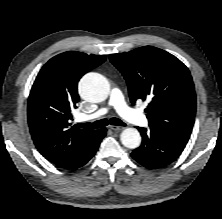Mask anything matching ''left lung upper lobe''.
<instances>
[{"label":"left lung upper lobe","mask_w":222,"mask_h":219,"mask_svg":"<svg viewBox=\"0 0 222 219\" xmlns=\"http://www.w3.org/2000/svg\"><path fill=\"white\" fill-rule=\"evenodd\" d=\"M128 84L132 104L148 100L149 126L188 142L192 132L196 95L188 68L172 54L144 46L110 55Z\"/></svg>","instance_id":"left-lung-upper-lobe-1"}]
</instances>
